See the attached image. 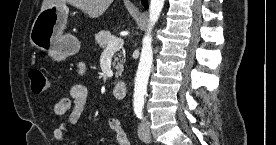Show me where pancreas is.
I'll return each instance as SVG.
<instances>
[{"label":"pancreas","instance_id":"obj_1","mask_svg":"<svg viewBox=\"0 0 276 145\" xmlns=\"http://www.w3.org/2000/svg\"><path fill=\"white\" fill-rule=\"evenodd\" d=\"M113 39L114 36L110 33V31H100L95 35L96 44L103 50L106 49L108 43ZM113 66L117 70L115 73V77L120 76L123 71V59H121L120 53H118L117 56L114 57Z\"/></svg>","mask_w":276,"mask_h":145}]
</instances>
